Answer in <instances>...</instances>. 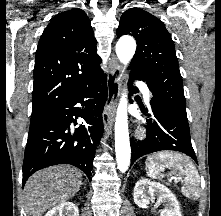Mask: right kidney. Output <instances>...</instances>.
<instances>
[{
	"label": "right kidney",
	"instance_id": "right-kidney-1",
	"mask_svg": "<svg viewBox=\"0 0 221 216\" xmlns=\"http://www.w3.org/2000/svg\"><path fill=\"white\" fill-rule=\"evenodd\" d=\"M45 216H79V209L74 203L64 202L50 209Z\"/></svg>",
	"mask_w": 221,
	"mask_h": 216
}]
</instances>
